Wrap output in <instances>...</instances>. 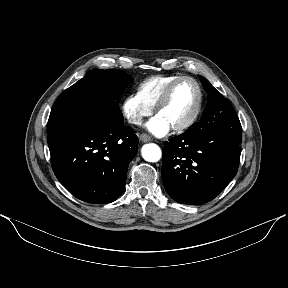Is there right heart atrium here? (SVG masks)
Listing matches in <instances>:
<instances>
[{
	"label": "right heart atrium",
	"mask_w": 288,
	"mask_h": 288,
	"mask_svg": "<svg viewBox=\"0 0 288 288\" xmlns=\"http://www.w3.org/2000/svg\"><path fill=\"white\" fill-rule=\"evenodd\" d=\"M122 112L132 125H139L152 114V108L145 105L135 94H128L122 101Z\"/></svg>",
	"instance_id": "right-heart-atrium-1"
}]
</instances>
